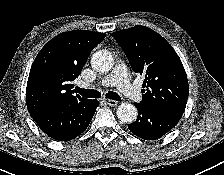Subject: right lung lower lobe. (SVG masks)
I'll list each match as a JSON object with an SVG mask.
<instances>
[{"instance_id": "98d812e1", "label": "right lung lower lobe", "mask_w": 224, "mask_h": 175, "mask_svg": "<svg viewBox=\"0 0 224 175\" xmlns=\"http://www.w3.org/2000/svg\"><path fill=\"white\" fill-rule=\"evenodd\" d=\"M98 104L96 100H86L54 107L32 118L49 137L58 141H69L86 130Z\"/></svg>"}]
</instances>
